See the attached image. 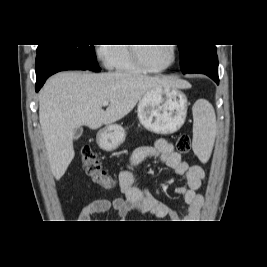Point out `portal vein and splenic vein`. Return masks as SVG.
Masks as SVG:
<instances>
[{
  "mask_svg": "<svg viewBox=\"0 0 267 267\" xmlns=\"http://www.w3.org/2000/svg\"><path fill=\"white\" fill-rule=\"evenodd\" d=\"M102 105H103V106H108V105H109V102H108V101H104V102L102 103Z\"/></svg>",
  "mask_w": 267,
  "mask_h": 267,
  "instance_id": "18ae733b",
  "label": "portal vein and splenic vein"
}]
</instances>
